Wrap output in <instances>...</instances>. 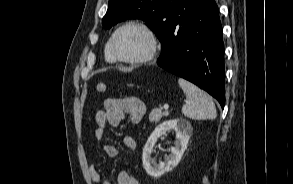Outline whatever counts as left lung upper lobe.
I'll return each instance as SVG.
<instances>
[{"label":"left lung upper lobe","mask_w":293,"mask_h":184,"mask_svg":"<svg viewBox=\"0 0 293 184\" xmlns=\"http://www.w3.org/2000/svg\"><path fill=\"white\" fill-rule=\"evenodd\" d=\"M180 0H109L102 19L105 29L131 18L145 20L161 42L162 50L173 9Z\"/></svg>","instance_id":"obj_1"}]
</instances>
